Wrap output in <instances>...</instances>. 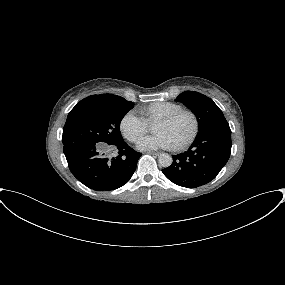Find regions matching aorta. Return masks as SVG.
Masks as SVG:
<instances>
[{"label":"aorta","mask_w":285,"mask_h":285,"mask_svg":"<svg viewBox=\"0 0 285 285\" xmlns=\"http://www.w3.org/2000/svg\"><path fill=\"white\" fill-rule=\"evenodd\" d=\"M158 162H159L160 166L166 168L172 164L173 159H172V156L169 155L168 153H162L158 157Z\"/></svg>","instance_id":"762f6f07"}]
</instances>
